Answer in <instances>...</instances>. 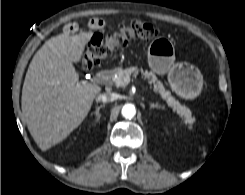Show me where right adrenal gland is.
Returning a JSON list of instances; mask_svg holds the SVG:
<instances>
[{
  "mask_svg": "<svg viewBox=\"0 0 245 195\" xmlns=\"http://www.w3.org/2000/svg\"><path fill=\"white\" fill-rule=\"evenodd\" d=\"M103 107H105V104H102V105H100V106H98L97 108H96V110L93 112V113H91V115H93V114H95L96 115V122L100 119V117H101V115H100V109L101 108H103Z\"/></svg>",
  "mask_w": 245,
  "mask_h": 195,
  "instance_id": "right-adrenal-gland-1",
  "label": "right adrenal gland"
}]
</instances>
